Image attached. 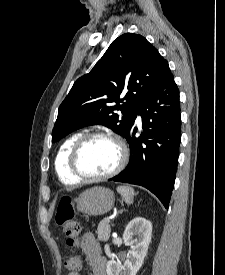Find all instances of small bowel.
<instances>
[{
    "label": "small bowel",
    "mask_w": 225,
    "mask_h": 275,
    "mask_svg": "<svg viewBox=\"0 0 225 275\" xmlns=\"http://www.w3.org/2000/svg\"><path fill=\"white\" fill-rule=\"evenodd\" d=\"M81 251L91 268L92 275H106V259L101 253L98 240L92 233H84L80 244ZM67 275H80L78 272H69Z\"/></svg>",
    "instance_id": "1"
}]
</instances>
